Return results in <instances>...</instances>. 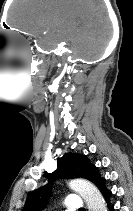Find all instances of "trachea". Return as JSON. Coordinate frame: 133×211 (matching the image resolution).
<instances>
[{
	"label": "trachea",
	"mask_w": 133,
	"mask_h": 211,
	"mask_svg": "<svg viewBox=\"0 0 133 211\" xmlns=\"http://www.w3.org/2000/svg\"><path fill=\"white\" fill-rule=\"evenodd\" d=\"M80 211H86L85 209H81Z\"/></svg>",
	"instance_id": "obj_1"
}]
</instances>
